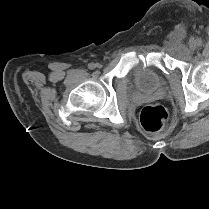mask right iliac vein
Instances as JSON below:
<instances>
[{
    "instance_id": "right-iliac-vein-1",
    "label": "right iliac vein",
    "mask_w": 209,
    "mask_h": 209,
    "mask_svg": "<svg viewBox=\"0 0 209 209\" xmlns=\"http://www.w3.org/2000/svg\"><path fill=\"white\" fill-rule=\"evenodd\" d=\"M97 67H98V68H101V65H100V64H97Z\"/></svg>"
}]
</instances>
